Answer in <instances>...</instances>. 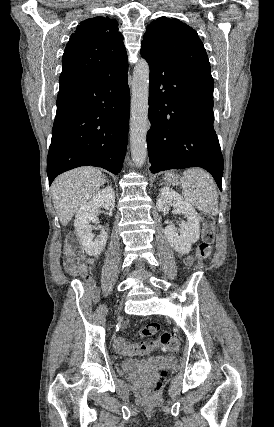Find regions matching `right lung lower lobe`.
<instances>
[{"label": "right lung lower lobe", "mask_w": 274, "mask_h": 427, "mask_svg": "<svg viewBox=\"0 0 274 427\" xmlns=\"http://www.w3.org/2000/svg\"><path fill=\"white\" fill-rule=\"evenodd\" d=\"M128 63L100 80L58 95L47 157L49 185L59 174L97 166L118 174L128 140Z\"/></svg>", "instance_id": "obj_1"}]
</instances>
